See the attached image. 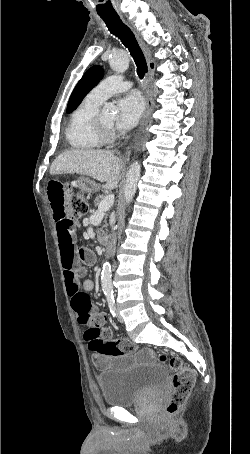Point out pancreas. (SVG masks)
Masks as SVG:
<instances>
[{
  "label": "pancreas",
  "mask_w": 250,
  "mask_h": 454,
  "mask_svg": "<svg viewBox=\"0 0 250 454\" xmlns=\"http://www.w3.org/2000/svg\"><path fill=\"white\" fill-rule=\"evenodd\" d=\"M103 198H104L103 195L97 196L96 199H95V201H94L95 206H98ZM105 223H106V221H105Z\"/></svg>",
  "instance_id": "pancreas-1"
}]
</instances>
